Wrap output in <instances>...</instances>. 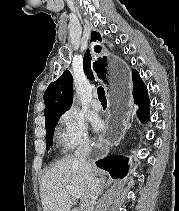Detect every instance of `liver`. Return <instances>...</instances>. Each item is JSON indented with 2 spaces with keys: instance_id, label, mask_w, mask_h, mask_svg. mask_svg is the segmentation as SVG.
Segmentation results:
<instances>
[{
  "instance_id": "6515ba94",
  "label": "liver",
  "mask_w": 179,
  "mask_h": 211,
  "mask_svg": "<svg viewBox=\"0 0 179 211\" xmlns=\"http://www.w3.org/2000/svg\"><path fill=\"white\" fill-rule=\"evenodd\" d=\"M67 186L78 189L83 202L89 185L74 155L59 160L42 177L40 197L43 211H71L73 202Z\"/></svg>"
}]
</instances>
